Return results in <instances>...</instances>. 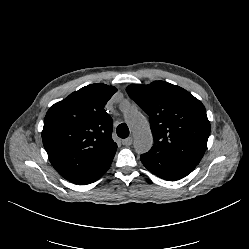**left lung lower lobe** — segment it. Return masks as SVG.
<instances>
[{
	"label": "left lung lower lobe",
	"mask_w": 249,
	"mask_h": 249,
	"mask_svg": "<svg viewBox=\"0 0 249 249\" xmlns=\"http://www.w3.org/2000/svg\"><path fill=\"white\" fill-rule=\"evenodd\" d=\"M144 166L156 176L169 180H179L191 173L196 166L173 159L145 153L140 157Z\"/></svg>",
	"instance_id": "0a47b994"
}]
</instances>
